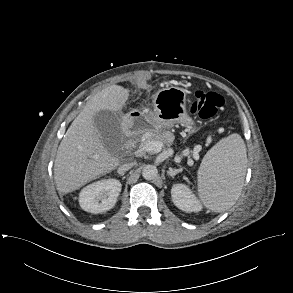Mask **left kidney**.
I'll use <instances>...</instances> for the list:
<instances>
[{"instance_id":"5707ae66","label":"left kidney","mask_w":293,"mask_h":293,"mask_svg":"<svg viewBox=\"0 0 293 293\" xmlns=\"http://www.w3.org/2000/svg\"><path fill=\"white\" fill-rule=\"evenodd\" d=\"M172 201L177 208L185 212H199L202 209L200 201L185 184H175L171 189Z\"/></svg>"}]
</instances>
